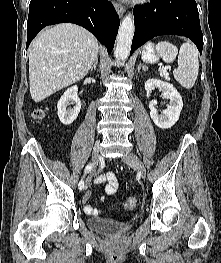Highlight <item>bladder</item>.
I'll return each instance as SVG.
<instances>
[{"label": "bladder", "mask_w": 221, "mask_h": 263, "mask_svg": "<svg viewBox=\"0 0 221 263\" xmlns=\"http://www.w3.org/2000/svg\"><path fill=\"white\" fill-rule=\"evenodd\" d=\"M87 224L92 230L116 236L128 232L132 226L128 221H119L97 216L89 218Z\"/></svg>", "instance_id": "31cf9c89"}]
</instances>
